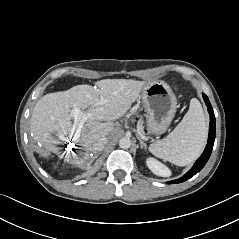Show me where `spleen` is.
I'll use <instances>...</instances> for the list:
<instances>
[{
	"instance_id": "spleen-1",
	"label": "spleen",
	"mask_w": 239,
	"mask_h": 239,
	"mask_svg": "<svg viewBox=\"0 0 239 239\" xmlns=\"http://www.w3.org/2000/svg\"><path fill=\"white\" fill-rule=\"evenodd\" d=\"M207 139V125L200 102L193 98L188 112L164 139L149 146V151L177 166L191 164L202 153Z\"/></svg>"
}]
</instances>
